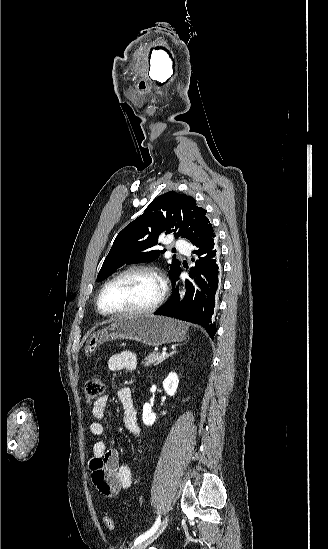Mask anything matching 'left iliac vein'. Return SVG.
<instances>
[{
    "instance_id": "obj_1",
    "label": "left iliac vein",
    "mask_w": 328,
    "mask_h": 549,
    "mask_svg": "<svg viewBox=\"0 0 328 549\" xmlns=\"http://www.w3.org/2000/svg\"><path fill=\"white\" fill-rule=\"evenodd\" d=\"M168 520H169V518H168V516H166V517L164 518V520L162 521L160 527H159L158 530L156 531V533H155L153 536L148 537L147 539H145V540H143L142 542H140L139 544H137V545L134 547V549H145V547H146L149 543H151L154 539H156L157 537H159V536L162 534V532L165 530V528H166V526H167V524H168Z\"/></svg>"
}]
</instances>
